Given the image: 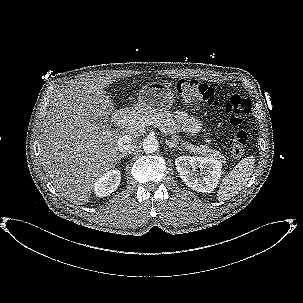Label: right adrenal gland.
I'll return each mask as SVG.
<instances>
[{"label":"right adrenal gland","instance_id":"obj_1","mask_svg":"<svg viewBox=\"0 0 303 303\" xmlns=\"http://www.w3.org/2000/svg\"><path fill=\"white\" fill-rule=\"evenodd\" d=\"M125 156H126L125 154H120V155L118 156V161L121 160L122 158H124Z\"/></svg>","mask_w":303,"mask_h":303}]
</instances>
